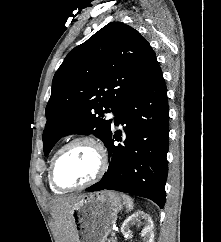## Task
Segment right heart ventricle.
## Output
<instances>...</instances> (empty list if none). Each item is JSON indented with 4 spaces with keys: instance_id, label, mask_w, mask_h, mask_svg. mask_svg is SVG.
<instances>
[{
    "instance_id": "e07e8e85",
    "label": "right heart ventricle",
    "mask_w": 221,
    "mask_h": 242,
    "mask_svg": "<svg viewBox=\"0 0 221 242\" xmlns=\"http://www.w3.org/2000/svg\"><path fill=\"white\" fill-rule=\"evenodd\" d=\"M58 150H59V148L55 149V151L53 152V154H52V156H51V159H50V164H51V162H52V160H53V158H54V156L56 155V153H57ZM49 185H50V188H51L52 191H54V192H56V193H60V192H61V190H58V189L54 188V187L51 185L50 180H49Z\"/></svg>"
}]
</instances>
